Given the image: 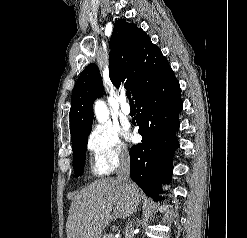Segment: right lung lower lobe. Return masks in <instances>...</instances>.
Segmentation results:
<instances>
[{"instance_id":"1","label":"right lung lower lobe","mask_w":247,"mask_h":238,"mask_svg":"<svg viewBox=\"0 0 247 238\" xmlns=\"http://www.w3.org/2000/svg\"><path fill=\"white\" fill-rule=\"evenodd\" d=\"M141 143L130 149V176L146 195L159 199L161 185L172 176L173 152L179 146L180 85L169 67L164 75L135 99ZM141 112V113H140Z\"/></svg>"}]
</instances>
